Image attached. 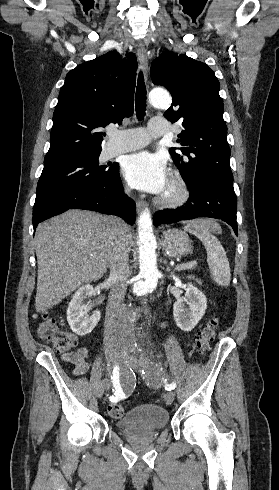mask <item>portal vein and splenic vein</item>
I'll return each mask as SVG.
<instances>
[{"instance_id":"1","label":"portal vein and splenic vein","mask_w":279,"mask_h":490,"mask_svg":"<svg viewBox=\"0 0 279 490\" xmlns=\"http://www.w3.org/2000/svg\"><path fill=\"white\" fill-rule=\"evenodd\" d=\"M194 266H197L196 260H194V262H189V264H182V266H177L175 270H178V272H180V270H187V268H194Z\"/></svg>"}]
</instances>
